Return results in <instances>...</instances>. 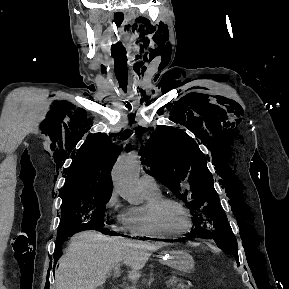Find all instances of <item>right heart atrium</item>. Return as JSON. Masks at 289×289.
<instances>
[{"instance_id": "1", "label": "right heart atrium", "mask_w": 289, "mask_h": 289, "mask_svg": "<svg viewBox=\"0 0 289 289\" xmlns=\"http://www.w3.org/2000/svg\"><path fill=\"white\" fill-rule=\"evenodd\" d=\"M104 210L107 215L114 218L111 228L115 232H124L128 230L127 210L123 207L122 202L116 190H112L108 196Z\"/></svg>"}]
</instances>
